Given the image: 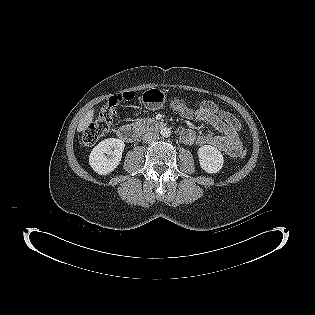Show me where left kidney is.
<instances>
[{
  "label": "left kidney",
  "instance_id": "obj_1",
  "mask_svg": "<svg viewBox=\"0 0 315 315\" xmlns=\"http://www.w3.org/2000/svg\"><path fill=\"white\" fill-rule=\"evenodd\" d=\"M198 157L201 168L210 174L221 170L224 163L222 153L211 145H204L198 149Z\"/></svg>",
  "mask_w": 315,
  "mask_h": 315
}]
</instances>
